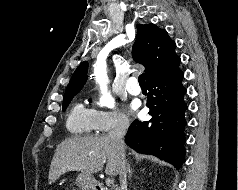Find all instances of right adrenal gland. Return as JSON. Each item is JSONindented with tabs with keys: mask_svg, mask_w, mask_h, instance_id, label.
<instances>
[{
	"mask_svg": "<svg viewBox=\"0 0 238 190\" xmlns=\"http://www.w3.org/2000/svg\"><path fill=\"white\" fill-rule=\"evenodd\" d=\"M127 172H128V177L130 178L131 174H132V170L130 169V165L129 164H127Z\"/></svg>",
	"mask_w": 238,
	"mask_h": 190,
	"instance_id": "right-adrenal-gland-1",
	"label": "right adrenal gland"
}]
</instances>
